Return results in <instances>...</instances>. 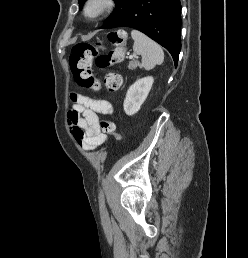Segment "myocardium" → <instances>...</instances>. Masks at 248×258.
Listing matches in <instances>:
<instances>
[{
    "label": "myocardium",
    "instance_id": "myocardium-1",
    "mask_svg": "<svg viewBox=\"0 0 248 258\" xmlns=\"http://www.w3.org/2000/svg\"><path fill=\"white\" fill-rule=\"evenodd\" d=\"M115 7V0H86L82 13L86 19L96 21L111 13Z\"/></svg>",
    "mask_w": 248,
    "mask_h": 258
}]
</instances>
